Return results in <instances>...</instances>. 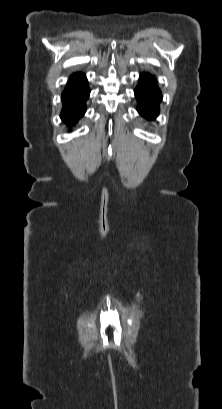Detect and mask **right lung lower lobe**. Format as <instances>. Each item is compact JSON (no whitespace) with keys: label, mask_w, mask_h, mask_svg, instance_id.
Masks as SVG:
<instances>
[{"label":"right lung lower lobe","mask_w":222,"mask_h":409,"mask_svg":"<svg viewBox=\"0 0 222 409\" xmlns=\"http://www.w3.org/2000/svg\"><path fill=\"white\" fill-rule=\"evenodd\" d=\"M89 94L88 82L83 74H74L70 77L62 93L63 109L60 115L66 124L72 125L84 115L85 102Z\"/></svg>","instance_id":"98d812e1"}]
</instances>
